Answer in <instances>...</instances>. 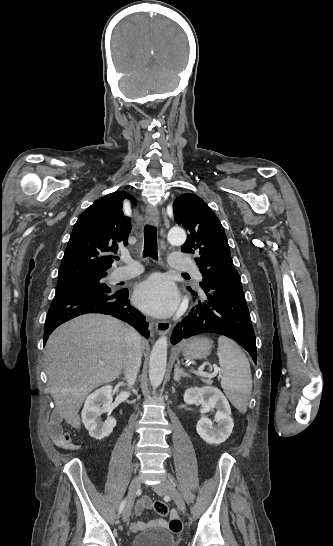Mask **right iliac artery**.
I'll use <instances>...</instances> for the list:
<instances>
[{
  "label": "right iliac artery",
  "instance_id": "1",
  "mask_svg": "<svg viewBox=\"0 0 333 546\" xmlns=\"http://www.w3.org/2000/svg\"><path fill=\"white\" fill-rule=\"evenodd\" d=\"M125 504H126V500H123V501L121 502L120 506H119V510H118V511H119V514L123 511V508H124Z\"/></svg>",
  "mask_w": 333,
  "mask_h": 546
}]
</instances>
